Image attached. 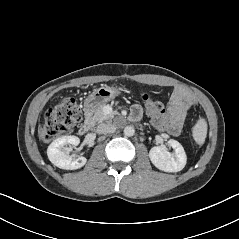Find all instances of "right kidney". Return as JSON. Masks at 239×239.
I'll list each match as a JSON object with an SVG mask.
<instances>
[{
    "mask_svg": "<svg viewBox=\"0 0 239 239\" xmlns=\"http://www.w3.org/2000/svg\"><path fill=\"white\" fill-rule=\"evenodd\" d=\"M80 143L76 136H62L55 139L47 149V155L51 163L61 169L76 170L83 167L87 159L83 156L72 159L69 152Z\"/></svg>",
    "mask_w": 239,
    "mask_h": 239,
    "instance_id": "obj_1",
    "label": "right kidney"
}]
</instances>
